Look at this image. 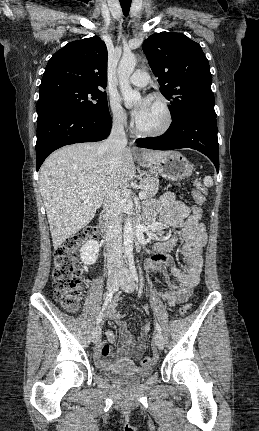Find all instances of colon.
Masks as SVG:
<instances>
[{
    "mask_svg": "<svg viewBox=\"0 0 259 431\" xmlns=\"http://www.w3.org/2000/svg\"><path fill=\"white\" fill-rule=\"evenodd\" d=\"M193 198L196 202L191 205L193 217L199 220L202 211L199 204H203L207 194L206 187L201 181L196 180ZM97 235L95 228H88L74 238L68 239L59 247L54 255L53 285L56 301L66 310L76 312L80 306L83 295V277L78 261V253L81 245L88 239ZM191 309V303L186 302L180 308V314L186 316ZM143 366H149L151 359L145 356L141 360Z\"/></svg>",
    "mask_w": 259,
    "mask_h": 431,
    "instance_id": "1",
    "label": "colon"
}]
</instances>
